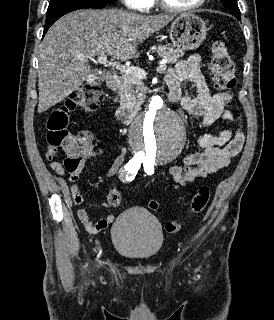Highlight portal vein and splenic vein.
Segmentation results:
<instances>
[{
    "label": "portal vein and splenic vein",
    "instance_id": "18ae733b",
    "mask_svg": "<svg viewBox=\"0 0 274 320\" xmlns=\"http://www.w3.org/2000/svg\"><path fill=\"white\" fill-rule=\"evenodd\" d=\"M81 62H95V64H102V66H109V68H113V70H120L121 74H131L133 78H145L146 76L145 70L135 68V66H122V64H117V62H113V60H108L106 54H99L97 60H92V58H81ZM166 64L167 60H162L159 68H161V70H166Z\"/></svg>",
    "mask_w": 274,
    "mask_h": 320
}]
</instances>
